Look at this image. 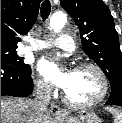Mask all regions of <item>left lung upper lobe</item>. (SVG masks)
Returning <instances> with one entry per match:
<instances>
[{
  "label": "left lung upper lobe",
  "mask_w": 122,
  "mask_h": 123,
  "mask_svg": "<svg viewBox=\"0 0 122 123\" xmlns=\"http://www.w3.org/2000/svg\"><path fill=\"white\" fill-rule=\"evenodd\" d=\"M80 30L84 52L108 77L111 89L122 86V52L109 8L102 0H60Z\"/></svg>",
  "instance_id": "obj_1"
}]
</instances>
